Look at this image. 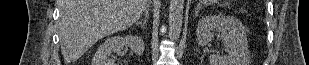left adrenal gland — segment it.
<instances>
[{
    "mask_svg": "<svg viewBox=\"0 0 309 65\" xmlns=\"http://www.w3.org/2000/svg\"><path fill=\"white\" fill-rule=\"evenodd\" d=\"M201 8L199 7V6H197V8H196V10H195V17H197L198 16V13H199V10H200Z\"/></svg>",
    "mask_w": 309,
    "mask_h": 65,
    "instance_id": "1",
    "label": "left adrenal gland"
}]
</instances>
